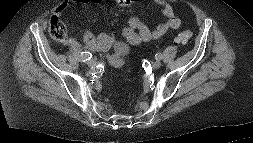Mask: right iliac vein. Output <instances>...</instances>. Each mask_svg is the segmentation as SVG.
Masks as SVG:
<instances>
[{"instance_id":"right-iliac-vein-1","label":"right iliac vein","mask_w":253,"mask_h":143,"mask_svg":"<svg viewBox=\"0 0 253 143\" xmlns=\"http://www.w3.org/2000/svg\"><path fill=\"white\" fill-rule=\"evenodd\" d=\"M87 65H88L89 67H93V66L95 65V61H94L93 59H89V60L87 61Z\"/></svg>"}]
</instances>
